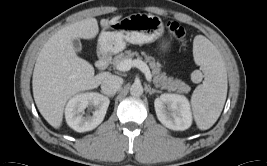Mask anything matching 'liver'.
Returning <instances> with one entry per match:
<instances>
[{
    "label": "liver",
    "instance_id": "1",
    "mask_svg": "<svg viewBox=\"0 0 267 166\" xmlns=\"http://www.w3.org/2000/svg\"><path fill=\"white\" fill-rule=\"evenodd\" d=\"M121 16L101 20L102 27L116 23ZM99 31L95 18H87L65 26L55 33L41 49L33 72L32 87L36 106L44 119L60 128L64 107L74 95L97 88L110 75H94L93 66L77 56L73 39H93Z\"/></svg>",
    "mask_w": 267,
    "mask_h": 166
}]
</instances>
